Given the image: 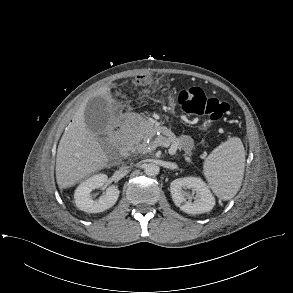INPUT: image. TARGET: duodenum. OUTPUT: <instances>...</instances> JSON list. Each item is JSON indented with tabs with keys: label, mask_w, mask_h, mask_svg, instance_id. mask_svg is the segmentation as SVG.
Listing matches in <instances>:
<instances>
[{
	"label": "duodenum",
	"mask_w": 293,
	"mask_h": 293,
	"mask_svg": "<svg viewBox=\"0 0 293 293\" xmlns=\"http://www.w3.org/2000/svg\"><path fill=\"white\" fill-rule=\"evenodd\" d=\"M122 153H129V149L126 148V147H123V148H122Z\"/></svg>",
	"instance_id": "duodenum-1"
}]
</instances>
